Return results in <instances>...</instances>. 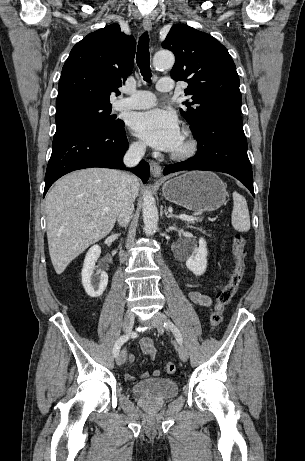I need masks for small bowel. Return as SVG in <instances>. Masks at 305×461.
Returning <instances> with one entry per match:
<instances>
[{"label":"small bowel","mask_w":305,"mask_h":461,"mask_svg":"<svg viewBox=\"0 0 305 461\" xmlns=\"http://www.w3.org/2000/svg\"><path fill=\"white\" fill-rule=\"evenodd\" d=\"M188 296H189V299L194 304H196V305H198L200 307H209L213 303L212 298L203 289H201L199 287L192 289L188 293ZM140 346H141V349L143 350V352L148 354L151 358L154 359L156 357L157 351H156V348H155V345H154V341L151 338L145 337V338L141 339ZM129 361L130 362L135 361V355L134 354H129ZM152 374H153V376L157 377V376L160 375V371L158 369H156V370H154L152 372ZM147 375L148 374L146 372H144V373H141L139 375V377L140 378H145ZM126 378L128 380H133L134 376H132L130 374H127Z\"/></svg>","instance_id":"obj_1"}]
</instances>
